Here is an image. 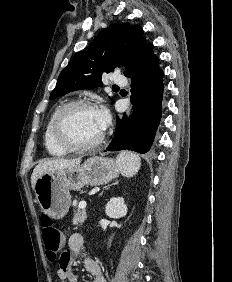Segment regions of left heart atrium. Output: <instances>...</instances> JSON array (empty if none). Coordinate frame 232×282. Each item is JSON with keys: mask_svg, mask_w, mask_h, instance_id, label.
Wrapping results in <instances>:
<instances>
[{"mask_svg": "<svg viewBox=\"0 0 232 282\" xmlns=\"http://www.w3.org/2000/svg\"><path fill=\"white\" fill-rule=\"evenodd\" d=\"M97 117L100 123L101 128L104 130L109 124L110 116L106 108L102 107L96 110Z\"/></svg>", "mask_w": 232, "mask_h": 282, "instance_id": "1", "label": "left heart atrium"}]
</instances>
